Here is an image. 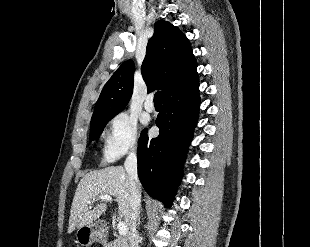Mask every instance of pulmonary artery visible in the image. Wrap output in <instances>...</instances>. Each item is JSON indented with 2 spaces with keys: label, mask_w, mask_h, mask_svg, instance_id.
I'll list each match as a JSON object with an SVG mask.
<instances>
[{
  "label": "pulmonary artery",
  "mask_w": 310,
  "mask_h": 247,
  "mask_svg": "<svg viewBox=\"0 0 310 247\" xmlns=\"http://www.w3.org/2000/svg\"><path fill=\"white\" fill-rule=\"evenodd\" d=\"M144 108L147 112H153L155 110L152 96L147 97V99L144 103Z\"/></svg>",
  "instance_id": "pulmonary-artery-1"
}]
</instances>
